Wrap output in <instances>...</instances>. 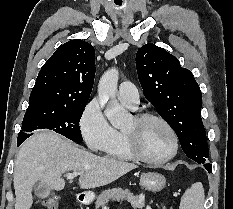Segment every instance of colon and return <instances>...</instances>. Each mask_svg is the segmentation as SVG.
Returning a JSON list of instances; mask_svg holds the SVG:
<instances>
[{"label":"colon","instance_id":"colon-1","mask_svg":"<svg viewBox=\"0 0 233 209\" xmlns=\"http://www.w3.org/2000/svg\"><path fill=\"white\" fill-rule=\"evenodd\" d=\"M42 206L45 209H58L59 199L58 197H49L42 202Z\"/></svg>","mask_w":233,"mask_h":209}]
</instances>
